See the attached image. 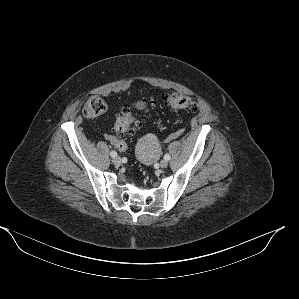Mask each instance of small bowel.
<instances>
[{
  "instance_id": "c3829d8e",
  "label": "small bowel",
  "mask_w": 299,
  "mask_h": 299,
  "mask_svg": "<svg viewBox=\"0 0 299 299\" xmlns=\"http://www.w3.org/2000/svg\"><path fill=\"white\" fill-rule=\"evenodd\" d=\"M133 108L136 110H144L147 107V100L146 99H138L133 103ZM105 138L107 141H109L111 144H113L114 146H116V143L118 141V138L114 135L111 134H107L105 135ZM117 147V146H116ZM121 152H123V150L119 149Z\"/></svg>"
}]
</instances>
